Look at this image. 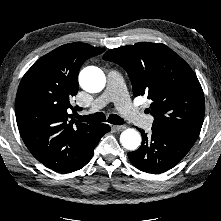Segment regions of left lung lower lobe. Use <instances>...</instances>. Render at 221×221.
I'll return each mask as SVG.
<instances>
[{
    "label": "left lung lower lobe",
    "mask_w": 221,
    "mask_h": 221,
    "mask_svg": "<svg viewBox=\"0 0 221 221\" xmlns=\"http://www.w3.org/2000/svg\"><path fill=\"white\" fill-rule=\"evenodd\" d=\"M142 134V145L128 157L140 171L160 174L176 166L191 149L194 142L152 127V132Z\"/></svg>",
    "instance_id": "1"
}]
</instances>
